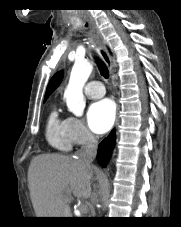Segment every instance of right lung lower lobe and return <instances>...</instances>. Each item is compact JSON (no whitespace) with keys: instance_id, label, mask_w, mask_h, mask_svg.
Segmentation results:
<instances>
[{"instance_id":"obj_1","label":"right lung lower lobe","mask_w":181,"mask_h":227,"mask_svg":"<svg viewBox=\"0 0 181 227\" xmlns=\"http://www.w3.org/2000/svg\"><path fill=\"white\" fill-rule=\"evenodd\" d=\"M115 144V130L113 129L107 138H105L98 147L97 160L102 167H105L111 151Z\"/></svg>"}]
</instances>
